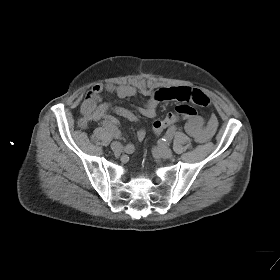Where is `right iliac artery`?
<instances>
[{"instance_id": "1", "label": "right iliac artery", "mask_w": 280, "mask_h": 280, "mask_svg": "<svg viewBox=\"0 0 280 280\" xmlns=\"http://www.w3.org/2000/svg\"><path fill=\"white\" fill-rule=\"evenodd\" d=\"M104 129H106L107 131H109L111 133V135L115 138V139H121V132L120 130L115 126L113 125L111 122L109 121H103L102 123ZM134 145L131 144V143H128L125 145V152L126 153H133L134 152Z\"/></svg>"}]
</instances>
